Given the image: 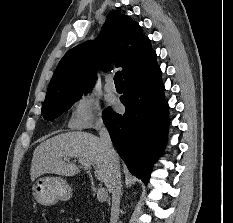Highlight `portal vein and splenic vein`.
I'll return each instance as SVG.
<instances>
[{
  "label": "portal vein and splenic vein",
  "mask_w": 233,
  "mask_h": 223,
  "mask_svg": "<svg viewBox=\"0 0 233 223\" xmlns=\"http://www.w3.org/2000/svg\"><path fill=\"white\" fill-rule=\"evenodd\" d=\"M78 163H80V165H83V167H87V169H90L91 167V163H87V161H84V159H78ZM107 197H108L107 189H98L97 191L98 201H106Z\"/></svg>",
  "instance_id": "1"
}]
</instances>
